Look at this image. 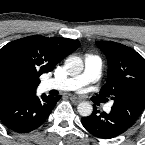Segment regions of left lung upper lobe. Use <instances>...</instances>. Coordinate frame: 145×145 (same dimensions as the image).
<instances>
[{
    "mask_svg": "<svg viewBox=\"0 0 145 145\" xmlns=\"http://www.w3.org/2000/svg\"><path fill=\"white\" fill-rule=\"evenodd\" d=\"M108 61V80L100 95L110 97L111 111L133 125L145 107V61L134 49L112 41H96Z\"/></svg>",
    "mask_w": 145,
    "mask_h": 145,
    "instance_id": "5c2ea615",
    "label": "left lung upper lobe"
}]
</instances>
